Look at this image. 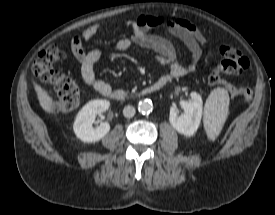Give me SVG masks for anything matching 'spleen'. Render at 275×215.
I'll use <instances>...</instances> for the list:
<instances>
[{
	"label": "spleen",
	"mask_w": 275,
	"mask_h": 215,
	"mask_svg": "<svg viewBox=\"0 0 275 215\" xmlns=\"http://www.w3.org/2000/svg\"><path fill=\"white\" fill-rule=\"evenodd\" d=\"M229 95L224 88H216L209 95L204 109V125L207 136L215 140L226 121Z\"/></svg>",
	"instance_id": "3e777b00"
}]
</instances>
